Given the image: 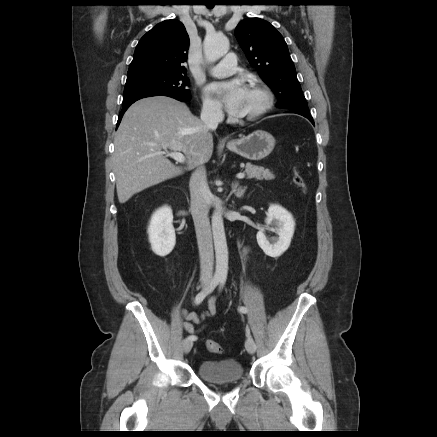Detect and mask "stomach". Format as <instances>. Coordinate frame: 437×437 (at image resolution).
Here are the masks:
<instances>
[{"mask_svg":"<svg viewBox=\"0 0 437 437\" xmlns=\"http://www.w3.org/2000/svg\"><path fill=\"white\" fill-rule=\"evenodd\" d=\"M226 146L231 152L248 160L259 161L273 151L275 138L268 132L257 130L247 136L229 141Z\"/></svg>","mask_w":437,"mask_h":437,"instance_id":"stomach-1","label":"stomach"}]
</instances>
